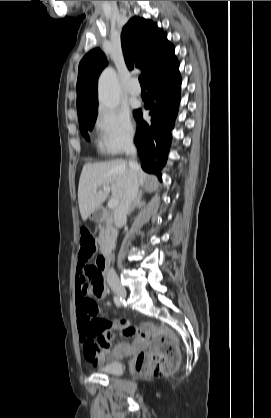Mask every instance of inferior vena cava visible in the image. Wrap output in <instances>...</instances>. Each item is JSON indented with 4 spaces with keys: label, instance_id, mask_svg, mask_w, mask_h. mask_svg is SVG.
I'll return each mask as SVG.
<instances>
[{
    "label": "inferior vena cava",
    "instance_id": "602c4592",
    "mask_svg": "<svg viewBox=\"0 0 271 418\" xmlns=\"http://www.w3.org/2000/svg\"><path fill=\"white\" fill-rule=\"evenodd\" d=\"M126 154L131 155L133 159L129 161V174L124 195L114 211V223L116 227H121L126 222L128 211L138 192L137 163L134 160L137 150L134 144H130L127 147ZM107 282L110 285L119 283L118 276L113 268L109 269L107 273Z\"/></svg>",
    "mask_w": 271,
    "mask_h": 418
}]
</instances>
